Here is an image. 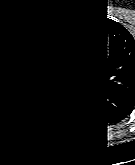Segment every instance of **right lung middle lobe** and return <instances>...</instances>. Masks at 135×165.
I'll return each mask as SVG.
<instances>
[{"label":"right lung middle lobe","instance_id":"obj_1","mask_svg":"<svg viewBox=\"0 0 135 165\" xmlns=\"http://www.w3.org/2000/svg\"><path fill=\"white\" fill-rule=\"evenodd\" d=\"M40 54V46L38 47ZM40 58L32 55H19L12 49L0 51V80L30 79L38 66Z\"/></svg>","mask_w":135,"mask_h":165}]
</instances>
